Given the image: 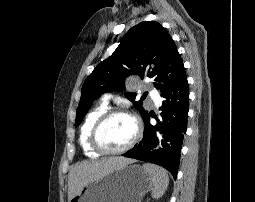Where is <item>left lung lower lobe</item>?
<instances>
[{
    "label": "left lung lower lobe",
    "instance_id": "obj_1",
    "mask_svg": "<svg viewBox=\"0 0 255 202\" xmlns=\"http://www.w3.org/2000/svg\"><path fill=\"white\" fill-rule=\"evenodd\" d=\"M161 97L164 101L160 107L162 112L159 118L155 116L157 124L151 125L147 113L143 117L145 124L143 139L123 155L160 165L176 179L189 110L186 73L183 72L176 83L161 92Z\"/></svg>",
    "mask_w": 255,
    "mask_h": 202
}]
</instances>
